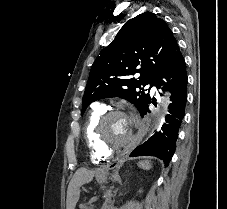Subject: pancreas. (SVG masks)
Wrapping results in <instances>:
<instances>
[{"mask_svg":"<svg viewBox=\"0 0 227 209\" xmlns=\"http://www.w3.org/2000/svg\"><path fill=\"white\" fill-rule=\"evenodd\" d=\"M85 209H91L89 206H86Z\"/></svg>","mask_w":227,"mask_h":209,"instance_id":"obj_1","label":"pancreas"}]
</instances>
